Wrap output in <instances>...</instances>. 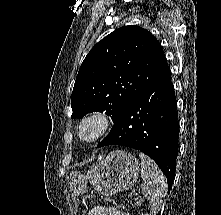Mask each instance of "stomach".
Instances as JSON below:
<instances>
[{
    "label": "stomach",
    "mask_w": 221,
    "mask_h": 215,
    "mask_svg": "<svg viewBox=\"0 0 221 215\" xmlns=\"http://www.w3.org/2000/svg\"><path fill=\"white\" fill-rule=\"evenodd\" d=\"M139 171L135 156L116 150L97 161L84 174L72 171L70 179L76 195L86 193L90 183L98 193L110 196L131 188L138 179Z\"/></svg>",
    "instance_id": "stomach-1"
}]
</instances>
